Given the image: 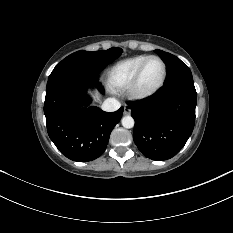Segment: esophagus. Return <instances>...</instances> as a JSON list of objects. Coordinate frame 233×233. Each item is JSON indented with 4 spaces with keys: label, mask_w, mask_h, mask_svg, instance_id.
I'll use <instances>...</instances> for the list:
<instances>
[{
    "label": "esophagus",
    "mask_w": 233,
    "mask_h": 233,
    "mask_svg": "<svg viewBox=\"0 0 233 233\" xmlns=\"http://www.w3.org/2000/svg\"><path fill=\"white\" fill-rule=\"evenodd\" d=\"M131 113V109L128 106H124V115H129Z\"/></svg>",
    "instance_id": "34e87169"
}]
</instances>
